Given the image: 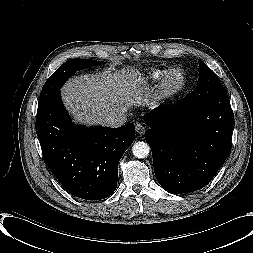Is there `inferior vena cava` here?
Wrapping results in <instances>:
<instances>
[{
    "label": "inferior vena cava",
    "instance_id": "inferior-vena-cava-1",
    "mask_svg": "<svg viewBox=\"0 0 253 253\" xmlns=\"http://www.w3.org/2000/svg\"><path fill=\"white\" fill-rule=\"evenodd\" d=\"M126 121V116H124L123 114H117L107 118L106 125L109 127L117 128L122 126Z\"/></svg>",
    "mask_w": 253,
    "mask_h": 253
}]
</instances>
